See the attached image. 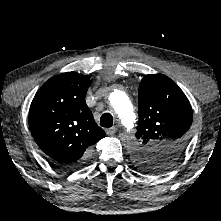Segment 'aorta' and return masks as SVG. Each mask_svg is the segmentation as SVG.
<instances>
[{"mask_svg":"<svg viewBox=\"0 0 221 221\" xmlns=\"http://www.w3.org/2000/svg\"><path fill=\"white\" fill-rule=\"evenodd\" d=\"M111 106L120 119L126 133L130 134L136 124V115L127 94L121 90H115L110 95Z\"/></svg>","mask_w":221,"mask_h":221,"instance_id":"762f6f07","label":"aorta"}]
</instances>
